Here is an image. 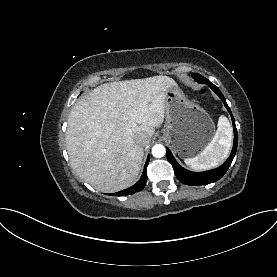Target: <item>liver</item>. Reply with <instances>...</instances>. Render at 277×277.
I'll list each match as a JSON object with an SVG mask.
<instances>
[{
	"instance_id": "6515ba94",
	"label": "liver",
	"mask_w": 277,
	"mask_h": 277,
	"mask_svg": "<svg viewBox=\"0 0 277 277\" xmlns=\"http://www.w3.org/2000/svg\"><path fill=\"white\" fill-rule=\"evenodd\" d=\"M176 86L172 78L159 75L105 83L79 98L66 131L76 174L105 193L133 185L144 155L135 136L145 133L150 142L164 121L166 93Z\"/></svg>"
}]
</instances>
